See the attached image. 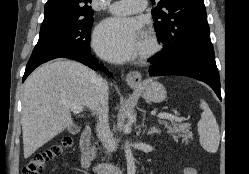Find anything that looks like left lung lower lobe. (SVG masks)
<instances>
[{"label":"left lung lower lobe","mask_w":249,"mask_h":174,"mask_svg":"<svg viewBox=\"0 0 249 174\" xmlns=\"http://www.w3.org/2000/svg\"><path fill=\"white\" fill-rule=\"evenodd\" d=\"M149 67L151 76L181 75L198 79L208 84L221 100L220 78L213 49L191 53L175 60H166L158 55Z\"/></svg>","instance_id":"0a47b994"}]
</instances>
